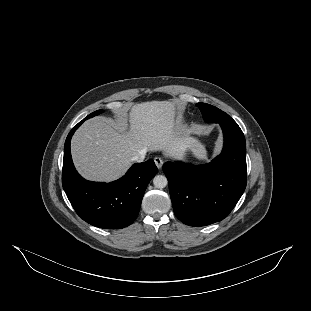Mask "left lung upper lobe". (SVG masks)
<instances>
[{
  "instance_id": "obj_1",
  "label": "left lung upper lobe",
  "mask_w": 311,
  "mask_h": 311,
  "mask_svg": "<svg viewBox=\"0 0 311 311\" xmlns=\"http://www.w3.org/2000/svg\"><path fill=\"white\" fill-rule=\"evenodd\" d=\"M196 106L201 110L203 119L206 122L219 123L232 119L228 114L212 105L206 103H197Z\"/></svg>"
}]
</instances>
